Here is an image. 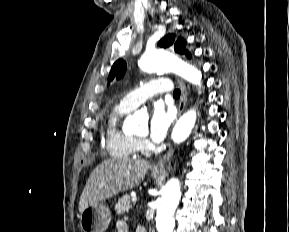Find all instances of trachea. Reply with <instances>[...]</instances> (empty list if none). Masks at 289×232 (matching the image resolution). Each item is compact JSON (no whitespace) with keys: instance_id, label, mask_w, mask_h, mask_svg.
Masks as SVG:
<instances>
[{"instance_id":"obj_1","label":"trachea","mask_w":289,"mask_h":232,"mask_svg":"<svg viewBox=\"0 0 289 232\" xmlns=\"http://www.w3.org/2000/svg\"><path fill=\"white\" fill-rule=\"evenodd\" d=\"M180 94H181L180 90L179 89H175L174 92H173V97L179 98Z\"/></svg>"}]
</instances>
